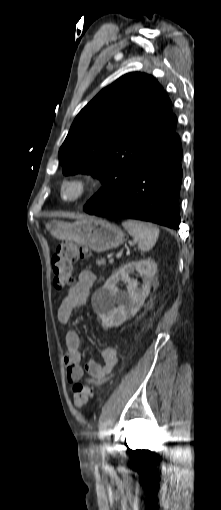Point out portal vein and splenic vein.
Wrapping results in <instances>:
<instances>
[{
  "label": "portal vein and splenic vein",
  "instance_id": "obj_1",
  "mask_svg": "<svg viewBox=\"0 0 221 510\" xmlns=\"http://www.w3.org/2000/svg\"><path fill=\"white\" fill-rule=\"evenodd\" d=\"M117 256H119V254H118ZM109 262H110V263H113V262H114V259H113V258H111V259L109 260Z\"/></svg>",
  "mask_w": 221,
  "mask_h": 510
}]
</instances>
